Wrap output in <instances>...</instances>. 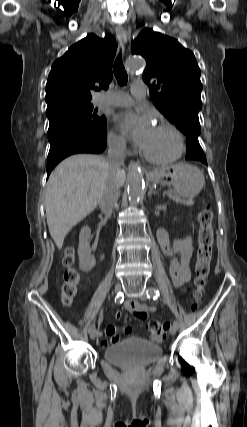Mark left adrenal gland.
I'll return each mask as SVG.
<instances>
[{
  "mask_svg": "<svg viewBox=\"0 0 247 427\" xmlns=\"http://www.w3.org/2000/svg\"><path fill=\"white\" fill-rule=\"evenodd\" d=\"M152 194H156L152 188L149 189L148 196H151Z\"/></svg>",
  "mask_w": 247,
  "mask_h": 427,
  "instance_id": "a2214340",
  "label": "left adrenal gland"
}]
</instances>
